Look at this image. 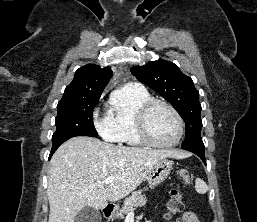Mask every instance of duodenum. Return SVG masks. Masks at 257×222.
I'll return each mask as SVG.
<instances>
[{"label":"duodenum","instance_id":"410a0bca","mask_svg":"<svg viewBox=\"0 0 257 222\" xmlns=\"http://www.w3.org/2000/svg\"><path fill=\"white\" fill-rule=\"evenodd\" d=\"M114 213V206L113 205H106L103 208V214L106 218H111L113 216Z\"/></svg>","mask_w":257,"mask_h":222}]
</instances>
